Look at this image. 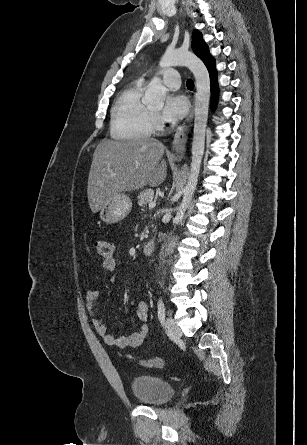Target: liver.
<instances>
[{
  "instance_id": "6515ba94",
  "label": "liver",
  "mask_w": 307,
  "mask_h": 445,
  "mask_svg": "<svg viewBox=\"0 0 307 445\" xmlns=\"http://www.w3.org/2000/svg\"><path fill=\"white\" fill-rule=\"evenodd\" d=\"M164 150V144L156 138H103L94 150L87 182L92 212H98L106 204L107 198L118 192L139 190L146 184H161L167 174L166 160H161Z\"/></svg>"
}]
</instances>
